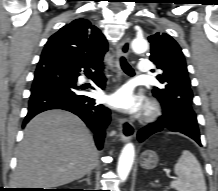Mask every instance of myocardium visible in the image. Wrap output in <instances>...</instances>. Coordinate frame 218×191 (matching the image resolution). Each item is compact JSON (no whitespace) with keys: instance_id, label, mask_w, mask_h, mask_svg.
Wrapping results in <instances>:
<instances>
[{"instance_id":"f54148a6","label":"myocardium","mask_w":218,"mask_h":191,"mask_svg":"<svg viewBox=\"0 0 218 191\" xmlns=\"http://www.w3.org/2000/svg\"><path fill=\"white\" fill-rule=\"evenodd\" d=\"M161 115V108L156 102H150L143 113V120L145 122L156 121Z\"/></svg>"}]
</instances>
